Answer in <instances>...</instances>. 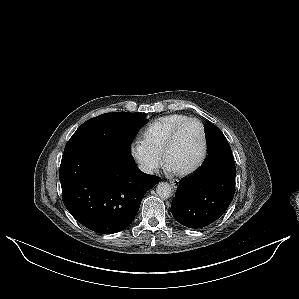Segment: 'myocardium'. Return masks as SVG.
<instances>
[{
    "label": "myocardium",
    "mask_w": 299,
    "mask_h": 299,
    "mask_svg": "<svg viewBox=\"0 0 299 299\" xmlns=\"http://www.w3.org/2000/svg\"><path fill=\"white\" fill-rule=\"evenodd\" d=\"M190 124H196L199 127L200 130V135H201V145H200V151H199V155L197 160L189 167H187L186 169L183 170H175L173 169L171 166H169L168 164V155L170 150L172 149V147L174 146L175 140L179 134V132L185 128L186 126L190 125ZM205 153H206V133H205V128L203 126V124L196 118H190L187 121H185L184 123H182L181 125H179L170 135L163 153H162V161L164 163V165L166 167H169L171 169H173V172L175 174H177L178 176H184V175H188L192 172H194L196 169L199 168V166L202 164L204 157H205Z\"/></svg>",
    "instance_id": "myocardium-1"
}]
</instances>
